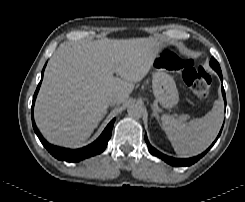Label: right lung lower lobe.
Segmentation results:
<instances>
[{
  "label": "right lung lower lobe",
  "instance_id": "98d812e1",
  "mask_svg": "<svg viewBox=\"0 0 245 202\" xmlns=\"http://www.w3.org/2000/svg\"><path fill=\"white\" fill-rule=\"evenodd\" d=\"M43 72H44V69L42 71V78H43ZM41 81H40L39 85L37 86V89H36L35 94L33 96L32 125H33L34 131L37 134L38 138L40 139L41 143L50 152V154H52L55 158L62 160V161L65 160L68 162H78L80 160H83L85 158H88V157H91V156H94L96 154H100L101 152H103L107 146V143H108L110 137H111V132H112L113 124L115 122V118L107 125V127L105 128L103 133L100 135V137L95 142H93L92 144H90L86 147L76 149V150L53 146V145L49 144L41 136V134L39 133V131H38V129L34 123V119H33V107H34L35 99H36Z\"/></svg>",
  "mask_w": 245,
  "mask_h": 202
}]
</instances>
